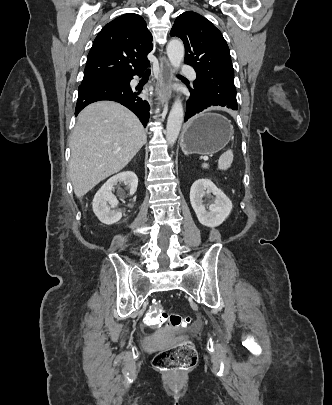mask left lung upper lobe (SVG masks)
I'll list each match as a JSON object with an SVG mask.
<instances>
[{
	"label": "left lung upper lobe",
	"instance_id": "5c2ea615",
	"mask_svg": "<svg viewBox=\"0 0 332 405\" xmlns=\"http://www.w3.org/2000/svg\"><path fill=\"white\" fill-rule=\"evenodd\" d=\"M170 36L183 40L185 63L196 71L192 92L201 95L210 107L237 110L234 70L221 32L203 16L187 11L176 18Z\"/></svg>",
	"mask_w": 332,
	"mask_h": 405
}]
</instances>
